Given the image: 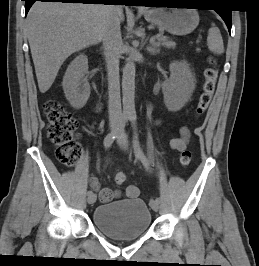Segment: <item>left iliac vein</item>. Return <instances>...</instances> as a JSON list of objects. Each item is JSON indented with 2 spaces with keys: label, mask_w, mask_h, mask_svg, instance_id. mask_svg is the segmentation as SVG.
<instances>
[{
  "label": "left iliac vein",
  "mask_w": 259,
  "mask_h": 266,
  "mask_svg": "<svg viewBox=\"0 0 259 266\" xmlns=\"http://www.w3.org/2000/svg\"><path fill=\"white\" fill-rule=\"evenodd\" d=\"M117 143L123 150L126 151L128 149V138L123 128L119 131L117 135ZM150 206L156 212L159 210V203H157V201L155 200L150 202Z\"/></svg>",
  "instance_id": "obj_1"
}]
</instances>
